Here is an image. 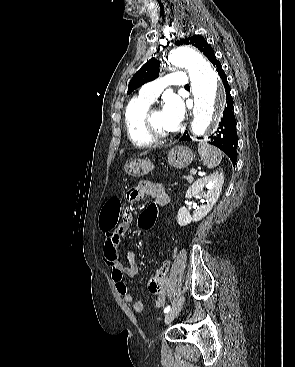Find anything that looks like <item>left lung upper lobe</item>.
I'll use <instances>...</instances> for the list:
<instances>
[{"label": "left lung upper lobe", "mask_w": 295, "mask_h": 367, "mask_svg": "<svg viewBox=\"0 0 295 367\" xmlns=\"http://www.w3.org/2000/svg\"><path fill=\"white\" fill-rule=\"evenodd\" d=\"M177 46L192 45L198 48L208 59H215V54L212 47L200 35H194L175 42ZM159 76V61L151 58L147 61L133 76L128 85L127 94L142 86L143 84L157 78Z\"/></svg>", "instance_id": "1"}]
</instances>
